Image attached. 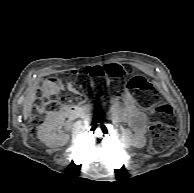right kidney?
<instances>
[{"label":"right kidney","instance_id":"ca27d5eb","mask_svg":"<svg viewBox=\"0 0 194 193\" xmlns=\"http://www.w3.org/2000/svg\"><path fill=\"white\" fill-rule=\"evenodd\" d=\"M62 124V118L57 113H51L38 130V138L50 148L61 147L68 143L69 135L56 134L55 128Z\"/></svg>","mask_w":194,"mask_h":193}]
</instances>
